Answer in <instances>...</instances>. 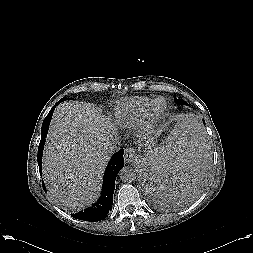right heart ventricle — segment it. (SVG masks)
Segmentation results:
<instances>
[{"label":"right heart ventricle","instance_id":"obj_1","mask_svg":"<svg viewBox=\"0 0 253 253\" xmlns=\"http://www.w3.org/2000/svg\"><path fill=\"white\" fill-rule=\"evenodd\" d=\"M151 100V98L146 96L121 100L114 108V121L123 128L136 126L141 122L143 114Z\"/></svg>","mask_w":253,"mask_h":253}]
</instances>
